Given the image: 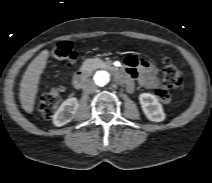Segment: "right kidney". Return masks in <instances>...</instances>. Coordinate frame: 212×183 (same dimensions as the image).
<instances>
[{
    "instance_id": "right-kidney-1",
    "label": "right kidney",
    "mask_w": 212,
    "mask_h": 183,
    "mask_svg": "<svg viewBox=\"0 0 212 183\" xmlns=\"http://www.w3.org/2000/svg\"><path fill=\"white\" fill-rule=\"evenodd\" d=\"M79 107L78 100L75 97L66 99L53 116V124L57 127L70 122Z\"/></svg>"
}]
</instances>
